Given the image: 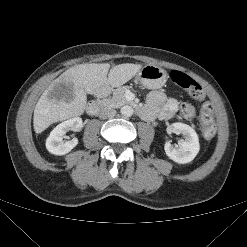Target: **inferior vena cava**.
<instances>
[{"label":"inferior vena cava","mask_w":247,"mask_h":247,"mask_svg":"<svg viewBox=\"0 0 247 247\" xmlns=\"http://www.w3.org/2000/svg\"><path fill=\"white\" fill-rule=\"evenodd\" d=\"M116 110L113 108H104L100 111L99 113V118L100 119H107L114 117L116 115Z\"/></svg>","instance_id":"1"}]
</instances>
